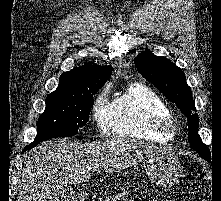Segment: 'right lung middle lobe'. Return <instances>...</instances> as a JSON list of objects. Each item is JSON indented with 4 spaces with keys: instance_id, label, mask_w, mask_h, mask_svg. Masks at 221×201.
Instances as JSON below:
<instances>
[{
    "instance_id": "obj_1",
    "label": "right lung middle lobe",
    "mask_w": 221,
    "mask_h": 201,
    "mask_svg": "<svg viewBox=\"0 0 221 201\" xmlns=\"http://www.w3.org/2000/svg\"><path fill=\"white\" fill-rule=\"evenodd\" d=\"M95 93L83 96L49 94L46 98L45 111L37 122L35 140L76 135L78 129L89 121Z\"/></svg>"
}]
</instances>
